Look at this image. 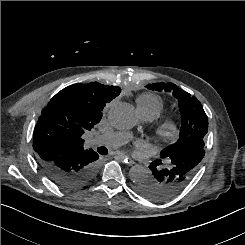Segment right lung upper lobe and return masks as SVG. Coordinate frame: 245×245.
<instances>
[{
  "label": "right lung upper lobe",
  "mask_w": 245,
  "mask_h": 245,
  "mask_svg": "<svg viewBox=\"0 0 245 245\" xmlns=\"http://www.w3.org/2000/svg\"><path fill=\"white\" fill-rule=\"evenodd\" d=\"M121 89L98 82L68 86L51 98L33 134L37 159L51 162L71 151H83L82 135L102 118L105 104Z\"/></svg>",
  "instance_id": "obj_1"
}]
</instances>
